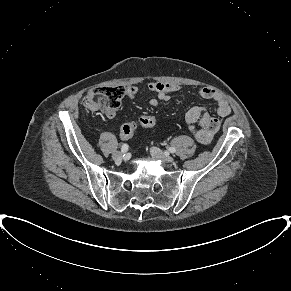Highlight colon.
Wrapping results in <instances>:
<instances>
[{"mask_svg": "<svg viewBox=\"0 0 291 291\" xmlns=\"http://www.w3.org/2000/svg\"><path fill=\"white\" fill-rule=\"evenodd\" d=\"M125 89L121 86L98 87L90 90L83 99V105L91 111H106L116 109L123 96ZM157 124V118L153 115H142L138 119L125 123L121 127V137L130 138L139 127L151 128Z\"/></svg>", "mask_w": 291, "mask_h": 291, "instance_id": "colon-1", "label": "colon"}]
</instances>
